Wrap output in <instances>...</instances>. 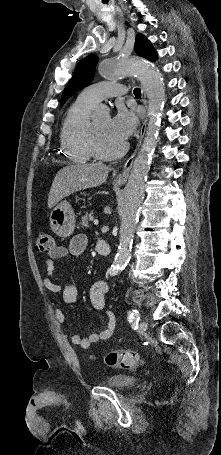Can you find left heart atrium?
<instances>
[{"label":"left heart atrium","mask_w":221,"mask_h":455,"mask_svg":"<svg viewBox=\"0 0 221 455\" xmlns=\"http://www.w3.org/2000/svg\"><path fill=\"white\" fill-rule=\"evenodd\" d=\"M136 126L137 118L135 114L124 107H120L111 119V129L122 141H125L135 131Z\"/></svg>","instance_id":"obj_1"}]
</instances>
